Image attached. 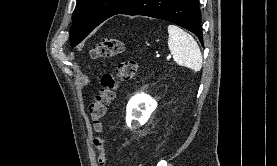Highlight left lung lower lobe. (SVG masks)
I'll list each match as a JSON object with an SVG mask.
<instances>
[{"label":"left lung lower lobe","mask_w":277,"mask_h":166,"mask_svg":"<svg viewBox=\"0 0 277 166\" xmlns=\"http://www.w3.org/2000/svg\"><path fill=\"white\" fill-rule=\"evenodd\" d=\"M116 14L143 15L172 22L194 33L203 44L197 0H133Z\"/></svg>","instance_id":"obj_1"}]
</instances>
